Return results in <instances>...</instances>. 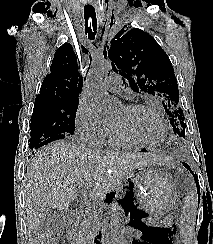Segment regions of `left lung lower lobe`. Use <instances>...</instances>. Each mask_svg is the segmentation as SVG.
Segmentation results:
<instances>
[{"label":"left lung lower lobe","mask_w":213,"mask_h":244,"mask_svg":"<svg viewBox=\"0 0 213 244\" xmlns=\"http://www.w3.org/2000/svg\"><path fill=\"white\" fill-rule=\"evenodd\" d=\"M184 165V167H186L188 170H190V172L192 173V175L194 176L195 178V181H196V186H197V192H198V195L200 197V189H199V185H198V182H197V179H196V176L194 175V173L192 172L191 168L189 167L188 164L186 163H182ZM119 203L121 204L122 208H124L125 210V213L127 215V211L129 209V205H128V201H127V197L125 196L122 200H119Z\"/></svg>","instance_id":"0a47b994"}]
</instances>
